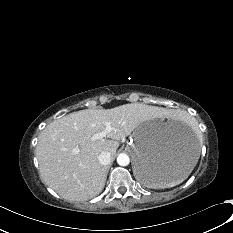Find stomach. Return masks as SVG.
Segmentation results:
<instances>
[{
    "label": "stomach",
    "instance_id": "1",
    "mask_svg": "<svg viewBox=\"0 0 233 233\" xmlns=\"http://www.w3.org/2000/svg\"><path fill=\"white\" fill-rule=\"evenodd\" d=\"M135 177L145 186L162 187L183 181L199 158L195 135L170 122L140 124L130 138Z\"/></svg>",
    "mask_w": 233,
    "mask_h": 233
}]
</instances>
